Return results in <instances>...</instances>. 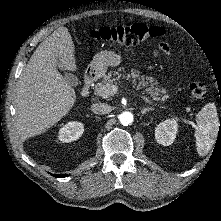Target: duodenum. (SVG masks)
<instances>
[{
	"instance_id": "obj_1",
	"label": "duodenum",
	"mask_w": 221,
	"mask_h": 221,
	"mask_svg": "<svg viewBox=\"0 0 221 221\" xmlns=\"http://www.w3.org/2000/svg\"><path fill=\"white\" fill-rule=\"evenodd\" d=\"M97 79V75L95 73V71H89L84 78V84H83V88L81 91V95L83 97H86L89 94V90L91 88V86L93 85V83L96 81Z\"/></svg>"
}]
</instances>
